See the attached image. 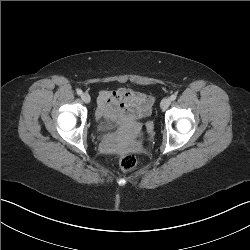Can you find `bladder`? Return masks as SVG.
I'll return each mask as SVG.
<instances>
[{"mask_svg": "<svg viewBox=\"0 0 250 250\" xmlns=\"http://www.w3.org/2000/svg\"><path fill=\"white\" fill-rule=\"evenodd\" d=\"M121 122L112 118H101L96 123V129L100 133H108L119 129Z\"/></svg>", "mask_w": 250, "mask_h": 250, "instance_id": "31cf9c89", "label": "bladder"}]
</instances>
